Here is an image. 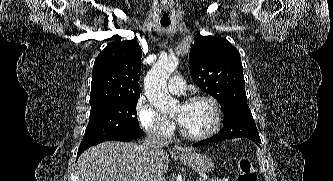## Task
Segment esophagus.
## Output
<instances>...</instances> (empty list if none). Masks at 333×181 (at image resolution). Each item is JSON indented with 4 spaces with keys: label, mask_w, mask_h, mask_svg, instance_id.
Masks as SVG:
<instances>
[{
    "label": "esophagus",
    "mask_w": 333,
    "mask_h": 181,
    "mask_svg": "<svg viewBox=\"0 0 333 181\" xmlns=\"http://www.w3.org/2000/svg\"><path fill=\"white\" fill-rule=\"evenodd\" d=\"M173 150L176 154H185L186 153V150L179 145L174 146Z\"/></svg>",
    "instance_id": "obj_1"
}]
</instances>
